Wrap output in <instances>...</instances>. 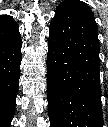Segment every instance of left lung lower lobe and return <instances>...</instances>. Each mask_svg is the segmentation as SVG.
<instances>
[{"mask_svg":"<svg viewBox=\"0 0 108 127\" xmlns=\"http://www.w3.org/2000/svg\"><path fill=\"white\" fill-rule=\"evenodd\" d=\"M50 127H102L97 26L82 1L58 5L47 55Z\"/></svg>","mask_w":108,"mask_h":127,"instance_id":"1","label":"left lung lower lobe"}]
</instances>
